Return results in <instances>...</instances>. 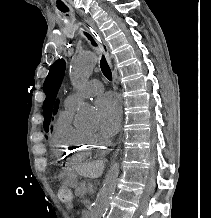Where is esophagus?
<instances>
[{"mask_svg":"<svg viewBox=\"0 0 211 218\" xmlns=\"http://www.w3.org/2000/svg\"><path fill=\"white\" fill-rule=\"evenodd\" d=\"M87 30L89 31V33L93 36V38L96 40V42L99 44V46L101 47V49L103 50L106 59L110 65V67L112 68V57L109 53V49L107 44L105 43L100 31L98 30V28L96 27L95 24L93 23H88L87 25ZM122 105H123V99L120 98V117H121V121L123 119V110H122ZM116 137H121V132H116ZM110 150H115L116 146L115 145H110L109 146Z\"/></svg>","mask_w":211,"mask_h":218,"instance_id":"1","label":"esophagus"}]
</instances>
